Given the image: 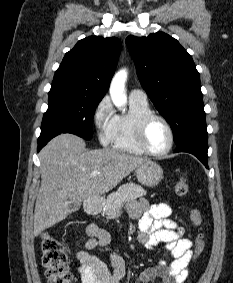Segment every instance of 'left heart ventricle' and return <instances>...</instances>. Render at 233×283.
Returning <instances> with one entry per match:
<instances>
[{
    "label": "left heart ventricle",
    "instance_id": "obj_1",
    "mask_svg": "<svg viewBox=\"0 0 233 283\" xmlns=\"http://www.w3.org/2000/svg\"><path fill=\"white\" fill-rule=\"evenodd\" d=\"M145 140L152 151H164L169 144L168 130L161 121L153 120L147 128Z\"/></svg>",
    "mask_w": 233,
    "mask_h": 283
}]
</instances>
